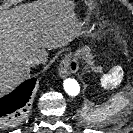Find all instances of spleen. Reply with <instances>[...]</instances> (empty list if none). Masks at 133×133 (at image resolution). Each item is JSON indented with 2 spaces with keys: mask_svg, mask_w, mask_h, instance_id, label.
<instances>
[{
  "mask_svg": "<svg viewBox=\"0 0 133 133\" xmlns=\"http://www.w3.org/2000/svg\"><path fill=\"white\" fill-rule=\"evenodd\" d=\"M124 104H125L124 99H121V100H119L117 106H118V108H122L124 106Z\"/></svg>",
  "mask_w": 133,
  "mask_h": 133,
  "instance_id": "spleen-1",
  "label": "spleen"
}]
</instances>
